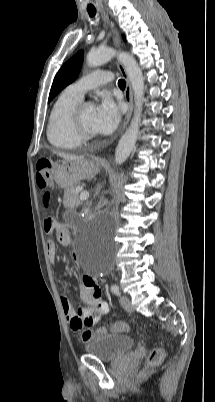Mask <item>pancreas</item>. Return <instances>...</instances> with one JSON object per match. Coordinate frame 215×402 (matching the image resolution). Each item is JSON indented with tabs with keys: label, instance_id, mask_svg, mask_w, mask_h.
Segmentation results:
<instances>
[{
	"label": "pancreas",
	"instance_id": "pancreas-1",
	"mask_svg": "<svg viewBox=\"0 0 215 402\" xmlns=\"http://www.w3.org/2000/svg\"><path fill=\"white\" fill-rule=\"evenodd\" d=\"M78 185L65 189L63 204L67 208H74L80 205Z\"/></svg>",
	"mask_w": 215,
	"mask_h": 402
}]
</instances>
